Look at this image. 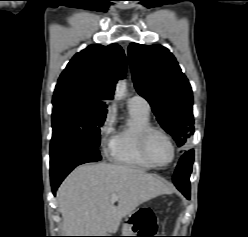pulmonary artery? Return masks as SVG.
<instances>
[{"mask_svg":"<svg viewBox=\"0 0 248 237\" xmlns=\"http://www.w3.org/2000/svg\"><path fill=\"white\" fill-rule=\"evenodd\" d=\"M128 106L138 107L145 111L150 110L149 102L140 95H134L133 97L129 98Z\"/></svg>","mask_w":248,"mask_h":237,"instance_id":"pulmonary-artery-1","label":"pulmonary artery"}]
</instances>
